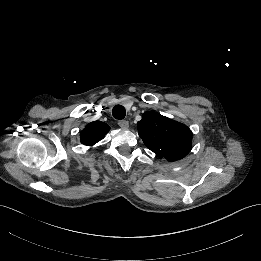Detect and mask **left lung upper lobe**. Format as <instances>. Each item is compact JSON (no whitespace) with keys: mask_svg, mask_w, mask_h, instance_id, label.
Returning <instances> with one entry per match:
<instances>
[{"mask_svg":"<svg viewBox=\"0 0 261 261\" xmlns=\"http://www.w3.org/2000/svg\"><path fill=\"white\" fill-rule=\"evenodd\" d=\"M137 128L144 144L160 158L176 161L185 157L191 150L190 129L156 112L144 113Z\"/></svg>","mask_w":261,"mask_h":261,"instance_id":"1","label":"left lung upper lobe"}]
</instances>
